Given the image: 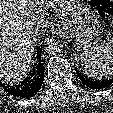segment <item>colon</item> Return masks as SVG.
Segmentation results:
<instances>
[{"mask_svg":"<svg viewBox=\"0 0 113 113\" xmlns=\"http://www.w3.org/2000/svg\"><path fill=\"white\" fill-rule=\"evenodd\" d=\"M92 5L104 16L113 18V1L91 0Z\"/></svg>","mask_w":113,"mask_h":113,"instance_id":"1","label":"colon"}]
</instances>
